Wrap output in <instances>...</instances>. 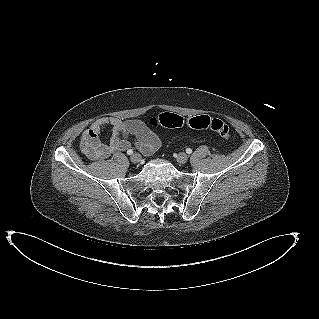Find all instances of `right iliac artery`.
Instances as JSON below:
<instances>
[{
	"label": "right iliac artery",
	"instance_id": "right-iliac-artery-1",
	"mask_svg": "<svg viewBox=\"0 0 319 319\" xmlns=\"http://www.w3.org/2000/svg\"><path fill=\"white\" fill-rule=\"evenodd\" d=\"M132 153H133V150H132V149H130V150L127 151V154H128V155H131Z\"/></svg>",
	"mask_w": 319,
	"mask_h": 319
}]
</instances>
